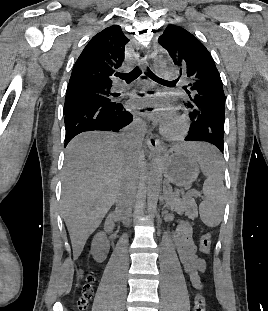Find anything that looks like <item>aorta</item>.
I'll list each match as a JSON object with an SVG mask.
<instances>
[{
	"label": "aorta",
	"mask_w": 268,
	"mask_h": 311,
	"mask_svg": "<svg viewBox=\"0 0 268 311\" xmlns=\"http://www.w3.org/2000/svg\"><path fill=\"white\" fill-rule=\"evenodd\" d=\"M154 65V72L160 77L166 75V61L162 57H156ZM161 157L160 152L158 151L154 156V160L151 163V167L147 177V186H146V194H147V202H148V213L151 218H154L157 202L161 190V180H162V168L159 164V159Z\"/></svg>",
	"instance_id": "aorta-1"
}]
</instances>
